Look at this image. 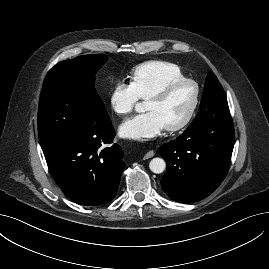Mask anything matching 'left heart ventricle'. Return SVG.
<instances>
[{
    "label": "left heart ventricle",
    "mask_w": 269,
    "mask_h": 269,
    "mask_svg": "<svg viewBox=\"0 0 269 269\" xmlns=\"http://www.w3.org/2000/svg\"><path fill=\"white\" fill-rule=\"evenodd\" d=\"M194 98V87L184 84L176 87L162 100L145 102V111L155 112L165 126L179 123L188 113Z\"/></svg>",
    "instance_id": "1"
}]
</instances>
